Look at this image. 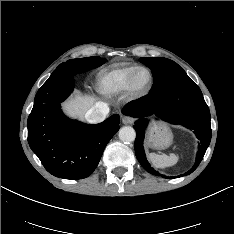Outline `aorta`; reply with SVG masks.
Wrapping results in <instances>:
<instances>
[{
  "instance_id": "obj_1",
  "label": "aorta",
  "mask_w": 234,
  "mask_h": 234,
  "mask_svg": "<svg viewBox=\"0 0 234 234\" xmlns=\"http://www.w3.org/2000/svg\"><path fill=\"white\" fill-rule=\"evenodd\" d=\"M119 139L123 142H133L136 137V132L131 126H124L119 130Z\"/></svg>"
}]
</instances>
